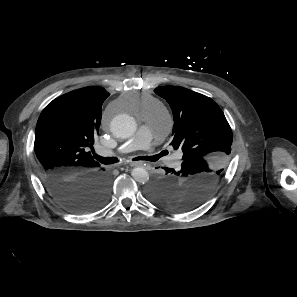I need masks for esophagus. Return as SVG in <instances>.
Wrapping results in <instances>:
<instances>
[{
  "instance_id": "esophagus-1",
  "label": "esophagus",
  "mask_w": 297,
  "mask_h": 297,
  "mask_svg": "<svg viewBox=\"0 0 297 297\" xmlns=\"http://www.w3.org/2000/svg\"><path fill=\"white\" fill-rule=\"evenodd\" d=\"M130 166L134 167V166H143L144 163L143 162H131L129 163Z\"/></svg>"
}]
</instances>
